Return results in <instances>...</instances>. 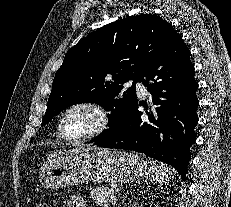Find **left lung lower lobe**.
<instances>
[{"label":"left lung lower lobe","instance_id":"left-lung-lower-lobe-1","mask_svg":"<svg viewBox=\"0 0 231 207\" xmlns=\"http://www.w3.org/2000/svg\"><path fill=\"white\" fill-rule=\"evenodd\" d=\"M138 80L147 87L155 107L143 114L137 100L118 128L95 138L94 145L144 153L174 167L185 181L199 101L190 50L183 39L152 58Z\"/></svg>","mask_w":231,"mask_h":207}]
</instances>
